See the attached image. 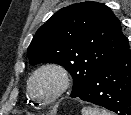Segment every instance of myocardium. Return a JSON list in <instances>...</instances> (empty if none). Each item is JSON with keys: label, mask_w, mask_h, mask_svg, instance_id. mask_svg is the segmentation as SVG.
<instances>
[{"label": "myocardium", "mask_w": 131, "mask_h": 115, "mask_svg": "<svg viewBox=\"0 0 131 115\" xmlns=\"http://www.w3.org/2000/svg\"><path fill=\"white\" fill-rule=\"evenodd\" d=\"M43 72H50L58 79V87L56 91L48 98L38 97L33 90V82L36 76ZM70 86V74L68 70L61 64L49 62L36 68L30 75L27 82V90L32 99L43 105H49L58 100Z\"/></svg>", "instance_id": "f54148a6"}]
</instances>
